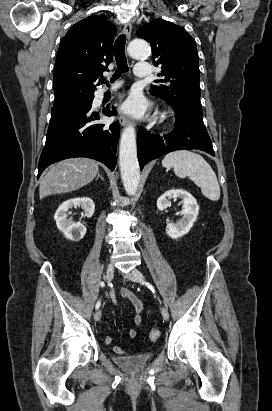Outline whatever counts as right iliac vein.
<instances>
[{
	"instance_id": "63e3f726",
	"label": "right iliac vein",
	"mask_w": 272,
	"mask_h": 411,
	"mask_svg": "<svg viewBox=\"0 0 272 411\" xmlns=\"http://www.w3.org/2000/svg\"><path fill=\"white\" fill-rule=\"evenodd\" d=\"M114 277V268L111 265H108L105 271V279L107 280L108 283H110L113 280ZM101 318V310L98 309L95 312L94 319L95 321H99Z\"/></svg>"
}]
</instances>
